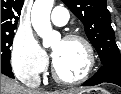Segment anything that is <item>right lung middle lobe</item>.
I'll list each match as a JSON object with an SVG mask.
<instances>
[{"label":"right lung middle lobe","instance_id":"dd1d6c3e","mask_svg":"<svg viewBox=\"0 0 121 94\" xmlns=\"http://www.w3.org/2000/svg\"><path fill=\"white\" fill-rule=\"evenodd\" d=\"M13 36L14 31L1 32V63H10Z\"/></svg>","mask_w":121,"mask_h":94}]
</instances>
